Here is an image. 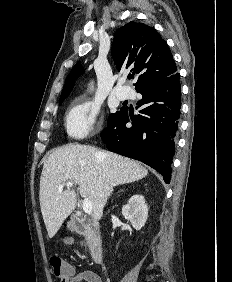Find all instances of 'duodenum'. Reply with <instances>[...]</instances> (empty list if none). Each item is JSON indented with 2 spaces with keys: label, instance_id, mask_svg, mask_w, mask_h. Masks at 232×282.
I'll return each instance as SVG.
<instances>
[{
  "label": "duodenum",
  "instance_id": "duodenum-1",
  "mask_svg": "<svg viewBox=\"0 0 232 282\" xmlns=\"http://www.w3.org/2000/svg\"><path fill=\"white\" fill-rule=\"evenodd\" d=\"M72 225L77 233L88 237L91 257L95 263H101L103 259V244L97 232L78 216L72 218Z\"/></svg>",
  "mask_w": 232,
  "mask_h": 282
}]
</instances>
